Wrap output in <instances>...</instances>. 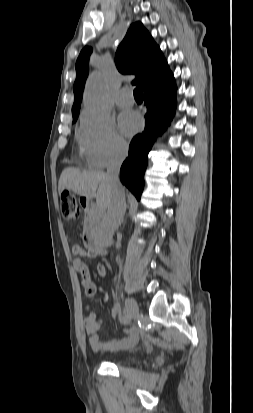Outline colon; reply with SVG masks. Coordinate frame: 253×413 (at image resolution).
<instances>
[{"mask_svg": "<svg viewBox=\"0 0 253 413\" xmlns=\"http://www.w3.org/2000/svg\"><path fill=\"white\" fill-rule=\"evenodd\" d=\"M61 212L62 216L67 220L76 219L80 216L76 199L68 192L61 195Z\"/></svg>", "mask_w": 253, "mask_h": 413, "instance_id": "5ec220e1", "label": "colon"}]
</instances>
